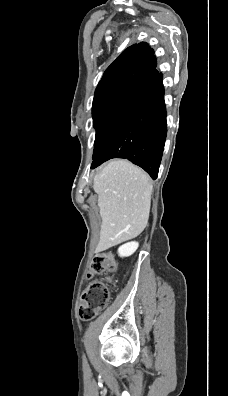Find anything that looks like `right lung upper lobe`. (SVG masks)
Instances as JSON below:
<instances>
[{"label":"right lung upper lobe","mask_w":228,"mask_h":396,"mask_svg":"<svg viewBox=\"0 0 228 396\" xmlns=\"http://www.w3.org/2000/svg\"><path fill=\"white\" fill-rule=\"evenodd\" d=\"M153 53L154 51L144 42L128 47L106 69L98 85L135 71H146L145 60Z\"/></svg>","instance_id":"obj_1"}]
</instances>
